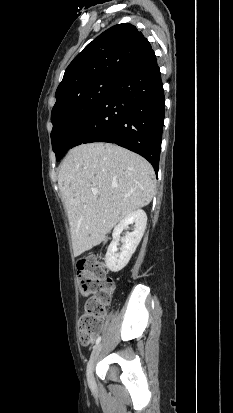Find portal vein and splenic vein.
Returning <instances> with one entry per match:
<instances>
[{"label": "portal vein and splenic vein", "instance_id": "1", "mask_svg": "<svg viewBox=\"0 0 233 413\" xmlns=\"http://www.w3.org/2000/svg\"><path fill=\"white\" fill-rule=\"evenodd\" d=\"M93 194H94V195H97V194H98V192H97V191H94V192H93Z\"/></svg>", "mask_w": 233, "mask_h": 413}]
</instances>
